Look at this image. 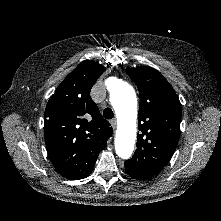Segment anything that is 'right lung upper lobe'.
<instances>
[{
    "label": "right lung upper lobe",
    "mask_w": 221,
    "mask_h": 221,
    "mask_svg": "<svg viewBox=\"0 0 221 221\" xmlns=\"http://www.w3.org/2000/svg\"><path fill=\"white\" fill-rule=\"evenodd\" d=\"M106 68L92 60L80 63L50 97L44 114V137L56 171L70 180L87 177L113 133L90 91Z\"/></svg>",
    "instance_id": "right-lung-upper-lobe-1"
}]
</instances>
